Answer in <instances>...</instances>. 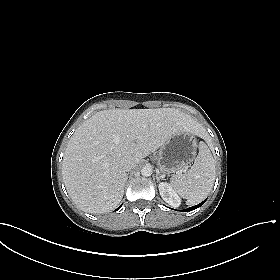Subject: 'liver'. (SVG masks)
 <instances>
[{
	"instance_id": "liver-1",
	"label": "liver",
	"mask_w": 280,
	"mask_h": 280,
	"mask_svg": "<svg viewBox=\"0 0 280 280\" xmlns=\"http://www.w3.org/2000/svg\"><path fill=\"white\" fill-rule=\"evenodd\" d=\"M202 126L174 108L109 109L84 121L70 138L62 162L68 194L82 210L101 214L121 202L127 173L124 158L136 165L173 135Z\"/></svg>"
}]
</instances>
